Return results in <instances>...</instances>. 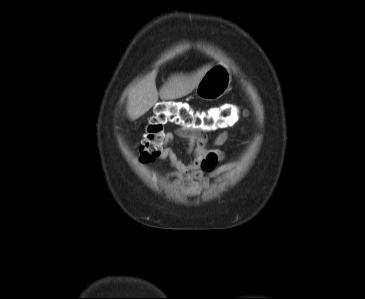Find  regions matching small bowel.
<instances>
[{
	"label": "small bowel",
	"mask_w": 365,
	"mask_h": 299,
	"mask_svg": "<svg viewBox=\"0 0 365 299\" xmlns=\"http://www.w3.org/2000/svg\"><path fill=\"white\" fill-rule=\"evenodd\" d=\"M229 136L226 131H221L211 143L203 130L189 131L175 129L166 133L165 147L159 154V159L169 160L173 171L169 176L174 177L177 187L194 193L201 192L207 185L208 177L218 175L226 171V168H217V163L224 159L225 153L218 148L224 145ZM176 140L187 144L186 154L193 157L185 162L179 153L168 146Z\"/></svg>",
	"instance_id": "obj_1"
}]
</instances>
